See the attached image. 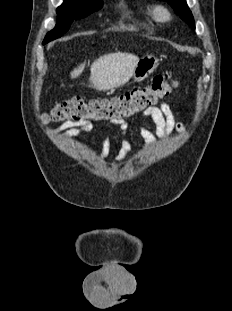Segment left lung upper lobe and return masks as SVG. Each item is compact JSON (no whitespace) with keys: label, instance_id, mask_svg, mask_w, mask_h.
Returning a JSON list of instances; mask_svg holds the SVG:
<instances>
[{"label":"left lung upper lobe","instance_id":"obj_1","mask_svg":"<svg viewBox=\"0 0 232 311\" xmlns=\"http://www.w3.org/2000/svg\"><path fill=\"white\" fill-rule=\"evenodd\" d=\"M168 2L179 15L192 29H195L194 19L189 10L186 0H164Z\"/></svg>","mask_w":232,"mask_h":311}]
</instances>
